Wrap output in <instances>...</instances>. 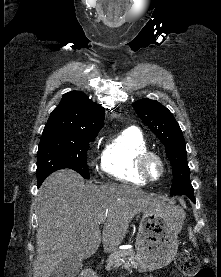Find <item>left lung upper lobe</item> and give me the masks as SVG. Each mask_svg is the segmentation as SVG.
Listing matches in <instances>:
<instances>
[{"instance_id": "obj_1", "label": "left lung upper lobe", "mask_w": 221, "mask_h": 277, "mask_svg": "<svg viewBox=\"0 0 221 277\" xmlns=\"http://www.w3.org/2000/svg\"><path fill=\"white\" fill-rule=\"evenodd\" d=\"M132 106L141 120L165 145L166 154L172 164L171 195L192 193L185 141L172 113L159 102L150 99L139 100Z\"/></svg>"}]
</instances>
